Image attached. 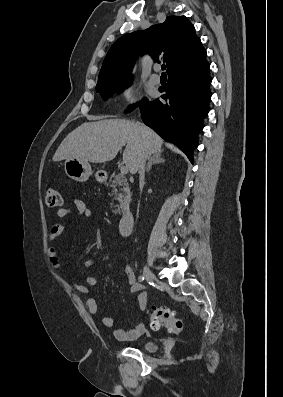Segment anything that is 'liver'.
<instances>
[{"instance_id": "obj_1", "label": "liver", "mask_w": 283, "mask_h": 397, "mask_svg": "<svg viewBox=\"0 0 283 397\" xmlns=\"http://www.w3.org/2000/svg\"><path fill=\"white\" fill-rule=\"evenodd\" d=\"M124 119L86 122L70 132L56 150L53 161L77 158L104 163L115 158L123 147V161L136 174L140 157L161 152L163 140L150 128Z\"/></svg>"}]
</instances>
